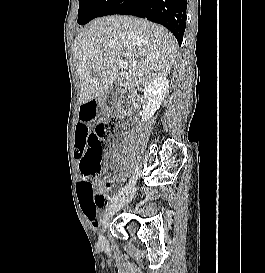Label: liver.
Returning a JSON list of instances; mask_svg holds the SVG:
<instances>
[{
	"label": "liver",
	"instance_id": "1",
	"mask_svg": "<svg viewBox=\"0 0 265 273\" xmlns=\"http://www.w3.org/2000/svg\"><path fill=\"white\" fill-rule=\"evenodd\" d=\"M175 37L161 25L131 16L93 20L76 37L73 57L79 75V103L99 97L114 82L125 89L167 76L177 53ZM128 63L118 73L116 60Z\"/></svg>",
	"mask_w": 265,
	"mask_h": 273
}]
</instances>
